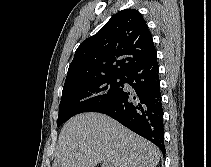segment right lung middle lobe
<instances>
[{
  "instance_id": "right-lung-middle-lobe-1",
  "label": "right lung middle lobe",
  "mask_w": 211,
  "mask_h": 167,
  "mask_svg": "<svg viewBox=\"0 0 211 167\" xmlns=\"http://www.w3.org/2000/svg\"><path fill=\"white\" fill-rule=\"evenodd\" d=\"M124 76H104L64 87L57 126L83 112H96L113 101L124 89Z\"/></svg>"
}]
</instances>
